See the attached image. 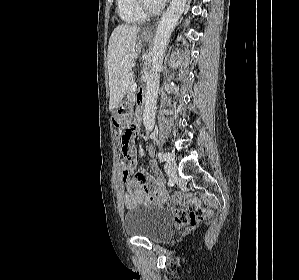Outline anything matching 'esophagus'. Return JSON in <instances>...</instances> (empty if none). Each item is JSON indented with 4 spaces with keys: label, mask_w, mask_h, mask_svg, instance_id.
I'll return each mask as SVG.
<instances>
[{
    "label": "esophagus",
    "mask_w": 299,
    "mask_h": 280,
    "mask_svg": "<svg viewBox=\"0 0 299 280\" xmlns=\"http://www.w3.org/2000/svg\"><path fill=\"white\" fill-rule=\"evenodd\" d=\"M153 30H154V25H151V26L146 27V28L143 30V32H144V33L151 34V33H153Z\"/></svg>",
    "instance_id": "esophagus-1"
}]
</instances>
